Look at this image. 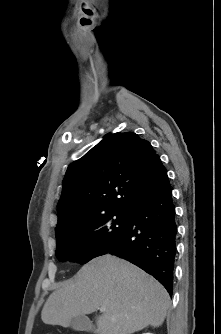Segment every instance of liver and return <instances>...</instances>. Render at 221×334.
I'll return each mask as SVG.
<instances>
[{"label":"liver","mask_w":221,"mask_h":334,"mask_svg":"<svg viewBox=\"0 0 221 334\" xmlns=\"http://www.w3.org/2000/svg\"><path fill=\"white\" fill-rule=\"evenodd\" d=\"M169 294L153 277L119 257L92 259L48 297L41 311L45 324L68 327L73 317L104 307L96 318L98 334H132L163 324Z\"/></svg>","instance_id":"obj_1"}]
</instances>
